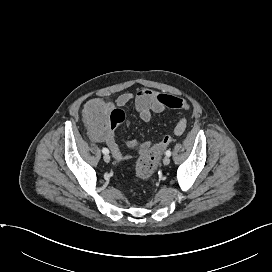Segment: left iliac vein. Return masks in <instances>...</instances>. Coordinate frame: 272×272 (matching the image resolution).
<instances>
[{
  "label": "left iliac vein",
  "mask_w": 272,
  "mask_h": 272,
  "mask_svg": "<svg viewBox=\"0 0 272 272\" xmlns=\"http://www.w3.org/2000/svg\"><path fill=\"white\" fill-rule=\"evenodd\" d=\"M163 163L164 165H168L170 163V158L168 156L164 157Z\"/></svg>",
  "instance_id": "obj_1"
}]
</instances>
